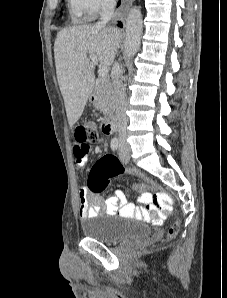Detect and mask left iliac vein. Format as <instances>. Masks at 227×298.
Listing matches in <instances>:
<instances>
[{
    "label": "left iliac vein",
    "mask_w": 227,
    "mask_h": 298,
    "mask_svg": "<svg viewBox=\"0 0 227 298\" xmlns=\"http://www.w3.org/2000/svg\"><path fill=\"white\" fill-rule=\"evenodd\" d=\"M119 157L123 163H127L130 159V147L123 143L119 148Z\"/></svg>",
    "instance_id": "left-iliac-vein-1"
}]
</instances>
